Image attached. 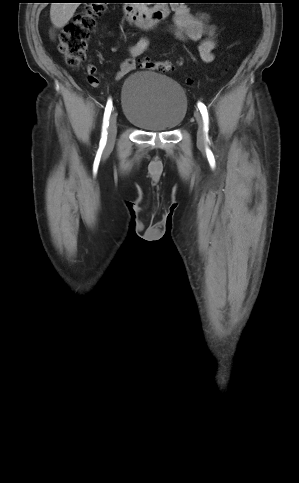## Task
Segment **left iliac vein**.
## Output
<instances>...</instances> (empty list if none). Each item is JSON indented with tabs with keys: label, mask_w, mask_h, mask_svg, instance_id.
I'll list each match as a JSON object with an SVG mask.
<instances>
[{
	"label": "left iliac vein",
	"mask_w": 299,
	"mask_h": 483,
	"mask_svg": "<svg viewBox=\"0 0 299 483\" xmlns=\"http://www.w3.org/2000/svg\"><path fill=\"white\" fill-rule=\"evenodd\" d=\"M195 118H196V122H197V125H198L197 142L199 144H203L204 141H205L204 123H203V119H202L200 112L197 111V110L195 111Z\"/></svg>",
	"instance_id": "left-iliac-vein-1"
}]
</instances>
